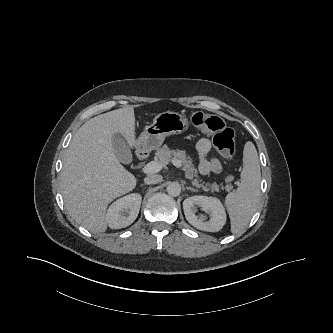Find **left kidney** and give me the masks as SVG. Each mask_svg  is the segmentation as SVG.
<instances>
[{
    "label": "left kidney",
    "instance_id": "5707ae66",
    "mask_svg": "<svg viewBox=\"0 0 333 333\" xmlns=\"http://www.w3.org/2000/svg\"><path fill=\"white\" fill-rule=\"evenodd\" d=\"M198 207L210 215V220L205 221V216L196 214ZM183 209L187 221L202 231L218 232L226 223L225 208L221 201L215 197L198 195L186 198L183 202Z\"/></svg>",
    "mask_w": 333,
    "mask_h": 333
}]
</instances>
